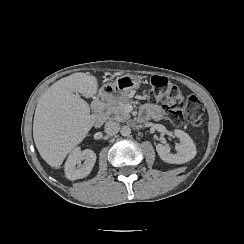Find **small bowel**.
<instances>
[{
    "mask_svg": "<svg viewBox=\"0 0 244 244\" xmlns=\"http://www.w3.org/2000/svg\"><path fill=\"white\" fill-rule=\"evenodd\" d=\"M164 117L162 108L155 104H145L141 109L140 118L142 121L149 119L161 120Z\"/></svg>",
    "mask_w": 244,
    "mask_h": 244,
    "instance_id": "c3829d8e",
    "label": "small bowel"
}]
</instances>
